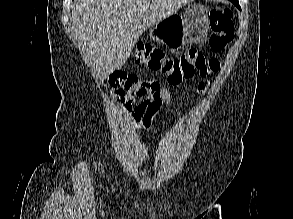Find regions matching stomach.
Returning <instances> with one entry per match:
<instances>
[{
	"mask_svg": "<svg viewBox=\"0 0 293 219\" xmlns=\"http://www.w3.org/2000/svg\"><path fill=\"white\" fill-rule=\"evenodd\" d=\"M208 10L201 4L186 8L183 17L172 14L150 26L149 36L173 51L189 43H202L209 30Z\"/></svg>",
	"mask_w": 293,
	"mask_h": 219,
	"instance_id": "1",
	"label": "stomach"
}]
</instances>
